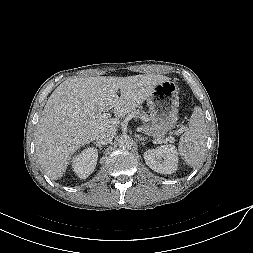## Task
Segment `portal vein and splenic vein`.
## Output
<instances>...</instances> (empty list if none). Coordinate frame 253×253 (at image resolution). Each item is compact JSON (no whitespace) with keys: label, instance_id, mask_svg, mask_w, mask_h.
<instances>
[{"label":"portal vein and splenic vein","instance_id":"portal-vein-and-splenic-vein-1","mask_svg":"<svg viewBox=\"0 0 253 253\" xmlns=\"http://www.w3.org/2000/svg\"><path fill=\"white\" fill-rule=\"evenodd\" d=\"M108 118H109V114H108V113L100 114V115L97 117V119H98L99 121L104 120V119H108ZM179 133H181V131H180ZM168 141L173 142V141H174V137L168 138Z\"/></svg>","mask_w":253,"mask_h":253}]
</instances>
